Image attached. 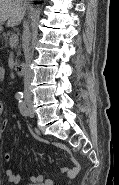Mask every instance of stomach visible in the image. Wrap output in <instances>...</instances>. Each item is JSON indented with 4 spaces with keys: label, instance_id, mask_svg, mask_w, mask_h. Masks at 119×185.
<instances>
[{
    "label": "stomach",
    "instance_id": "1",
    "mask_svg": "<svg viewBox=\"0 0 119 185\" xmlns=\"http://www.w3.org/2000/svg\"><path fill=\"white\" fill-rule=\"evenodd\" d=\"M2 30V27H1V25H0V31Z\"/></svg>",
    "mask_w": 119,
    "mask_h": 185
}]
</instances>
